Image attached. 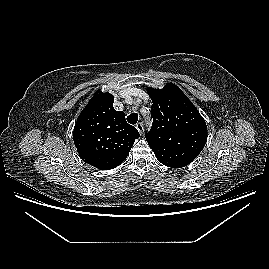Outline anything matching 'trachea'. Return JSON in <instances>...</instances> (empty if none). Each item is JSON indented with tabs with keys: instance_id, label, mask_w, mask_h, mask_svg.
Masks as SVG:
<instances>
[{
	"instance_id": "trachea-1",
	"label": "trachea",
	"mask_w": 269,
	"mask_h": 269,
	"mask_svg": "<svg viewBox=\"0 0 269 269\" xmlns=\"http://www.w3.org/2000/svg\"><path fill=\"white\" fill-rule=\"evenodd\" d=\"M127 121L130 124H136L138 121V114L137 113H132L130 115L127 116Z\"/></svg>"
}]
</instances>
